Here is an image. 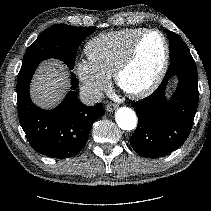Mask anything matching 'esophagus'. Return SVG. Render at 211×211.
Here are the masks:
<instances>
[{
  "instance_id": "34e87169",
  "label": "esophagus",
  "mask_w": 211,
  "mask_h": 211,
  "mask_svg": "<svg viewBox=\"0 0 211 211\" xmlns=\"http://www.w3.org/2000/svg\"><path fill=\"white\" fill-rule=\"evenodd\" d=\"M117 107H118L117 104L109 103V104L106 106V110H107L108 112H112V111H114Z\"/></svg>"
}]
</instances>
